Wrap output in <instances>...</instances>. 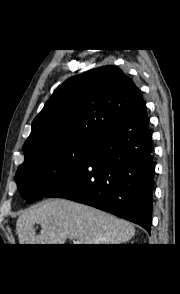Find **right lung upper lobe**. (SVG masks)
Instances as JSON below:
<instances>
[{
  "mask_svg": "<svg viewBox=\"0 0 180 294\" xmlns=\"http://www.w3.org/2000/svg\"><path fill=\"white\" fill-rule=\"evenodd\" d=\"M143 97L123 71L99 67L69 78L45 103L25 141V160L37 151L71 141L96 140L120 124Z\"/></svg>",
  "mask_w": 180,
  "mask_h": 294,
  "instance_id": "obj_1",
  "label": "right lung upper lobe"
}]
</instances>
